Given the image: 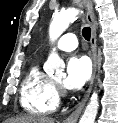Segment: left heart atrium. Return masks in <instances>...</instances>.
Returning <instances> with one entry per match:
<instances>
[{"instance_id": "left-heart-atrium-1", "label": "left heart atrium", "mask_w": 118, "mask_h": 123, "mask_svg": "<svg viewBox=\"0 0 118 123\" xmlns=\"http://www.w3.org/2000/svg\"><path fill=\"white\" fill-rule=\"evenodd\" d=\"M91 65L85 56H72L66 66V76L63 85L68 90L80 89L90 78Z\"/></svg>"}]
</instances>
